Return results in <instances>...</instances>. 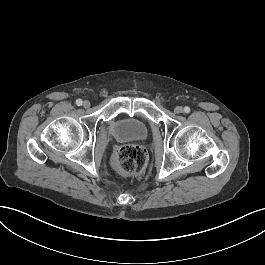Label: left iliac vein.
<instances>
[{
  "mask_svg": "<svg viewBox=\"0 0 265 265\" xmlns=\"http://www.w3.org/2000/svg\"><path fill=\"white\" fill-rule=\"evenodd\" d=\"M174 112H175L176 114H179V113L183 112V108H182L181 106H176V107L174 108Z\"/></svg>",
  "mask_w": 265,
  "mask_h": 265,
  "instance_id": "4c4485c4",
  "label": "left iliac vein"
}]
</instances>
